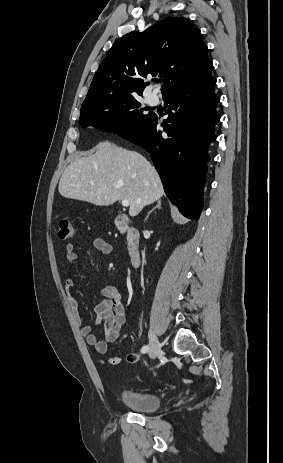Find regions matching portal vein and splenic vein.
<instances>
[{
  "instance_id": "1",
  "label": "portal vein and splenic vein",
  "mask_w": 283,
  "mask_h": 463,
  "mask_svg": "<svg viewBox=\"0 0 283 463\" xmlns=\"http://www.w3.org/2000/svg\"><path fill=\"white\" fill-rule=\"evenodd\" d=\"M122 205H123L124 207H128V206H129V201L126 200V199L122 200Z\"/></svg>"
}]
</instances>
